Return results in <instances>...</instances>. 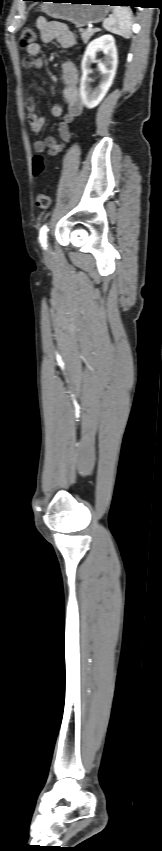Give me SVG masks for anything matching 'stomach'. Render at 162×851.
I'll use <instances>...</instances> for the list:
<instances>
[{"instance_id":"0dacf381","label":"stomach","mask_w":162,"mask_h":851,"mask_svg":"<svg viewBox=\"0 0 162 851\" xmlns=\"http://www.w3.org/2000/svg\"><path fill=\"white\" fill-rule=\"evenodd\" d=\"M45 1V0H43ZM43 2L42 11L55 19H62L82 27L105 19L110 6L107 0H51Z\"/></svg>"}]
</instances>
